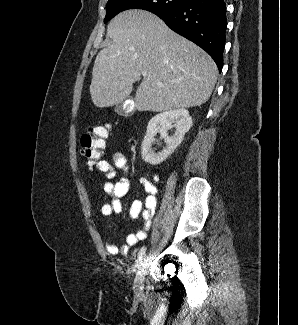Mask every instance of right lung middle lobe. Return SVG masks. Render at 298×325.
Returning <instances> with one entry per match:
<instances>
[{
	"mask_svg": "<svg viewBox=\"0 0 298 325\" xmlns=\"http://www.w3.org/2000/svg\"><path fill=\"white\" fill-rule=\"evenodd\" d=\"M188 1L189 0H113L107 3V14L104 23L127 9H144L156 13L157 11L180 8Z\"/></svg>",
	"mask_w": 298,
	"mask_h": 325,
	"instance_id": "right-lung-middle-lobe-1",
	"label": "right lung middle lobe"
}]
</instances>
